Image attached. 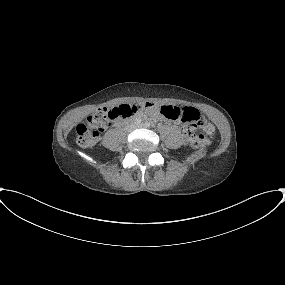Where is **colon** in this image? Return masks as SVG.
I'll use <instances>...</instances> for the list:
<instances>
[{
  "label": "colon",
  "instance_id": "5ec220e1",
  "mask_svg": "<svg viewBox=\"0 0 285 285\" xmlns=\"http://www.w3.org/2000/svg\"><path fill=\"white\" fill-rule=\"evenodd\" d=\"M141 110L158 113L167 119L181 121L188 126L195 124L197 128H204L210 134L214 132V127L206 123L200 112L195 108H181L175 105H158L152 102H143L123 104L111 109L103 107L95 109L76 127L78 145L85 148L95 145L101 133L109 127L112 120L128 119ZM186 138L189 144L196 148L208 143L199 132L191 130L189 127L186 129Z\"/></svg>",
  "mask_w": 285,
  "mask_h": 285
}]
</instances>
